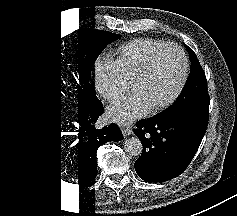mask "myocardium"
<instances>
[{
  "label": "myocardium",
  "mask_w": 237,
  "mask_h": 216,
  "mask_svg": "<svg viewBox=\"0 0 237 216\" xmlns=\"http://www.w3.org/2000/svg\"><path fill=\"white\" fill-rule=\"evenodd\" d=\"M175 63V81L168 92L163 96L156 99V102L144 101L147 106H158L165 107L173 100H176L183 94L185 90V84L188 78V60L184 52L179 49L177 53L168 54L167 49H163L157 52L151 61H148L146 65L140 70L139 73L135 74L130 84V96H136V87L139 81L147 74L154 72L156 68L162 66L165 63Z\"/></svg>",
  "instance_id": "myocardium-1"
}]
</instances>
